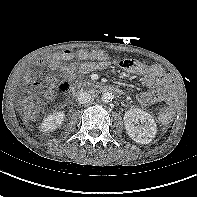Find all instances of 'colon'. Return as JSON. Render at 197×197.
Here are the masks:
<instances>
[{
	"mask_svg": "<svg viewBox=\"0 0 197 197\" xmlns=\"http://www.w3.org/2000/svg\"><path fill=\"white\" fill-rule=\"evenodd\" d=\"M78 56L82 59H91V60L106 59V54L102 51H97V50H93L90 52H88L86 50H82L79 52ZM62 57L64 59H71L73 57V55L71 52L66 51L62 54ZM129 66H131L130 62H128L127 60L123 61V67H129ZM69 86H70V83L65 81L60 85V89L62 91H66L69 88ZM28 111L31 114H35L37 112L36 106L32 101L28 104ZM172 115H173V112L169 107H162L159 110L158 117L161 122L167 123L171 120Z\"/></svg>",
	"mask_w": 197,
	"mask_h": 197,
	"instance_id": "obj_1",
	"label": "colon"
}]
</instances>
